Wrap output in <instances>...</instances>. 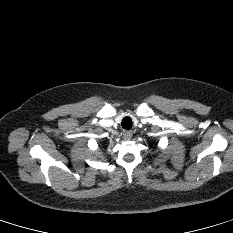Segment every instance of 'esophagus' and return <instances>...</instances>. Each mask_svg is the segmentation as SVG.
Segmentation results:
<instances>
[{"instance_id":"1","label":"esophagus","mask_w":233,"mask_h":233,"mask_svg":"<svg viewBox=\"0 0 233 233\" xmlns=\"http://www.w3.org/2000/svg\"><path fill=\"white\" fill-rule=\"evenodd\" d=\"M123 135L126 140H130L133 136V131L131 130L124 131Z\"/></svg>"}]
</instances>
